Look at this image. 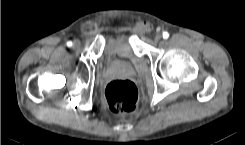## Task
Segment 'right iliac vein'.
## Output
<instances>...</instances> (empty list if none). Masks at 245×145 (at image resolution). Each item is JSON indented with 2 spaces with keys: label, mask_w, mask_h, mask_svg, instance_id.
<instances>
[{
  "label": "right iliac vein",
  "mask_w": 245,
  "mask_h": 145,
  "mask_svg": "<svg viewBox=\"0 0 245 145\" xmlns=\"http://www.w3.org/2000/svg\"><path fill=\"white\" fill-rule=\"evenodd\" d=\"M81 45V42L79 40L74 41V49H78Z\"/></svg>",
  "instance_id": "obj_1"
}]
</instances>
